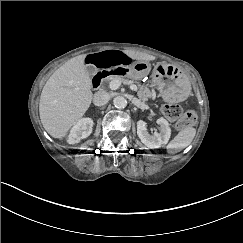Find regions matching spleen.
<instances>
[{
  "label": "spleen",
  "mask_w": 243,
  "mask_h": 243,
  "mask_svg": "<svg viewBox=\"0 0 243 243\" xmlns=\"http://www.w3.org/2000/svg\"><path fill=\"white\" fill-rule=\"evenodd\" d=\"M196 135V129L193 127H186L181 130L173 140L167 145L168 152H177L191 144Z\"/></svg>",
  "instance_id": "spleen-1"
}]
</instances>
